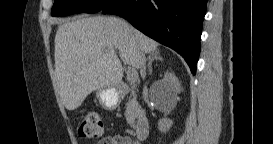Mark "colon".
<instances>
[{"mask_svg":"<svg viewBox=\"0 0 273 144\" xmlns=\"http://www.w3.org/2000/svg\"><path fill=\"white\" fill-rule=\"evenodd\" d=\"M78 134L85 139H98L104 134V123L96 113L86 114L78 127Z\"/></svg>","mask_w":273,"mask_h":144,"instance_id":"1","label":"colon"}]
</instances>
